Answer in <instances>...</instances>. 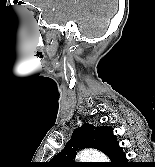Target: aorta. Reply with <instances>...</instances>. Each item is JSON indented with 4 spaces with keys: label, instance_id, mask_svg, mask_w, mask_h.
I'll return each mask as SVG.
<instances>
[{
    "label": "aorta",
    "instance_id": "762f6f07",
    "mask_svg": "<svg viewBox=\"0 0 155 167\" xmlns=\"http://www.w3.org/2000/svg\"><path fill=\"white\" fill-rule=\"evenodd\" d=\"M80 162H105L107 157L101 152L93 149H85L76 157Z\"/></svg>",
    "mask_w": 155,
    "mask_h": 167
}]
</instances>
